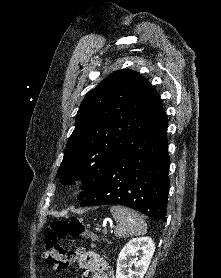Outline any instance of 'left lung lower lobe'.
Wrapping results in <instances>:
<instances>
[{
	"mask_svg": "<svg viewBox=\"0 0 221 278\" xmlns=\"http://www.w3.org/2000/svg\"><path fill=\"white\" fill-rule=\"evenodd\" d=\"M166 134L164 114L115 157L81 204L123 205L166 222L170 165Z\"/></svg>",
	"mask_w": 221,
	"mask_h": 278,
	"instance_id": "obj_1",
	"label": "left lung lower lobe"
}]
</instances>
